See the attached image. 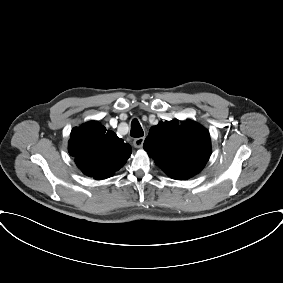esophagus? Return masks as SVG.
Masks as SVG:
<instances>
[{
    "instance_id": "obj_1",
    "label": "esophagus",
    "mask_w": 283,
    "mask_h": 283,
    "mask_svg": "<svg viewBox=\"0 0 283 283\" xmlns=\"http://www.w3.org/2000/svg\"><path fill=\"white\" fill-rule=\"evenodd\" d=\"M144 137H138V138H135L133 140V146L135 148H141L143 146V143H144Z\"/></svg>"
}]
</instances>
